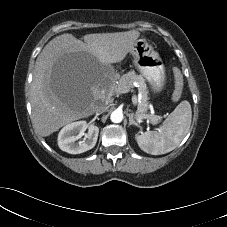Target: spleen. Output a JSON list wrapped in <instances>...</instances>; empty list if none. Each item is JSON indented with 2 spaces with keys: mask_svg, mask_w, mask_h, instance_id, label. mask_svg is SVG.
<instances>
[{
  "mask_svg": "<svg viewBox=\"0 0 227 227\" xmlns=\"http://www.w3.org/2000/svg\"><path fill=\"white\" fill-rule=\"evenodd\" d=\"M192 119L191 105L182 101L166 118L158 131H147L136 136L141 150L151 155L174 150L189 131Z\"/></svg>",
  "mask_w": 227,
  "mask_h": 227,
  "instance_id": "spleen-1",
  "label": "spleen"
}]
</instances>
